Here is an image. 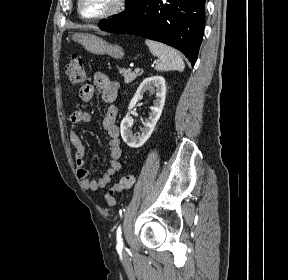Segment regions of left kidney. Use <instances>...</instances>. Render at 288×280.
<instances>
[{
    "label": "left kidney",
    "mask_w": 288,
    "mask_h": 280,
    "mask_svg": "<svg viewBox=\"0 0 288 280\" xmlns=\"http://www.w3.org/2000/svg\"><path fill=\"white\" fill-rule=\"evenodd\" d=\"M149 90L151 94H156L153 106L150 107V113L145 122H143V128L138 135H133L131 127L133 125V119L130 118V112L135 107L136 103L143 98V94ZM166 97V83L162 76H152L144 79L138 87L134 97L131 99L128 110L129 112L123 118L120 125V131L123 141L132 148L141 147L151 136L156 123L158 122Z\"/></svg>",
    "instance_id": "1"
}]
</instances>
